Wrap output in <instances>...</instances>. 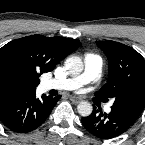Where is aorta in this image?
<instances>
[{"instance_id": "1", "label": "aorta", "mask_w": 145, "mask_h": 145, "mask_svg": "<svg viewBox=\"0 0 145 145\" xmlns=\"http://www.w3.org/2000/svg\"><path fill=\"white\" fill-rule=\"evenodd\" d=\"M65 66L72 75L80 74L84 68L82 59L77 56L69 57L65 62ZM77 110L81 116H89L92 113L93 108L89 102L82 101L78 104Z\"/></svg>"}]
</instances>
